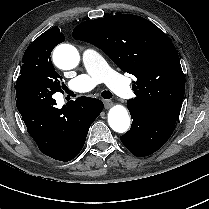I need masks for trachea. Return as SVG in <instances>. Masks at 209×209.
Listing matches in <instances>:
<instances>
[{"mask_svg":"<svg viewBox=\"0 0 209 209\" xmlns=\"http://www.w3.org/2000/svg\"><path fill=\"white\" fill-rule=\"evenodd\" d=\"M101 96L105 99L112 98V93L110 91H102Z\"/></svg>","mask_w":209,"mask_h":209,"instance_id":"3493384b","label":"trachea"}]
</instances>
